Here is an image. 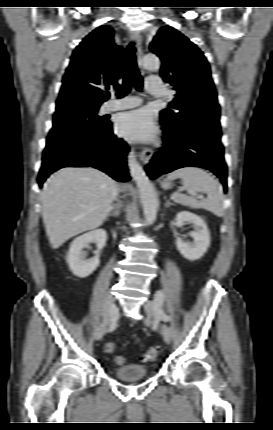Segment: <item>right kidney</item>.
I'll return each instance as SVG.
<instances>
[{"mask_svg": "<svg viewBox=\"0 0 273 430\" xmlns=\"http://www.w3.org/2000/svg\"><path fill=\"white\" fill-rule=\"evenodd\" d=\"M106 239V231L97 229L77 237L71 243L66 260L71 272L75 276L85 278L96 270L100 263L99 253L104 247ZM90 243H96L97 251L94 258L86 260L83 249Z\"/></svg>", "mask_w": 273, "mask_h": 430, "instance_id": "right-kidney-1", "label": "right kidney"}]
</instances>
